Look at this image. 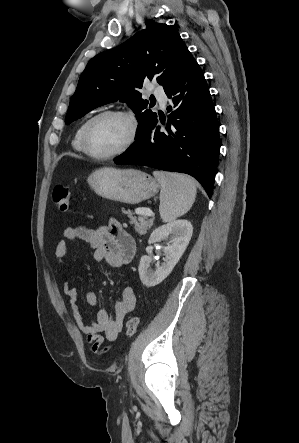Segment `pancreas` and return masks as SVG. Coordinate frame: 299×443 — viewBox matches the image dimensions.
I'll return each mask as SVG.
<instances>
[{
    "instance_id": "cf45deb5",
    "label": "pancreas",
    "mask_w": 299,
    "mask_h": 443,
    "mask_svg": "<svg viewBox=\"0 0 299 443\" xmlns=\"http://www.w3.org/2000/svg\"><path fill=\"white\" fill-rule=\"evenodd\" d=\"M142 211L143 209L140 210L139 213ZM123 212H125L127 216L130 218V224L134 225L135 231L140 235L146 234V232L153 225V219H149L144 214H140L139 217L137 218L130 210L127 211L123 210Z\"/></svg>"
}]
</instances>
